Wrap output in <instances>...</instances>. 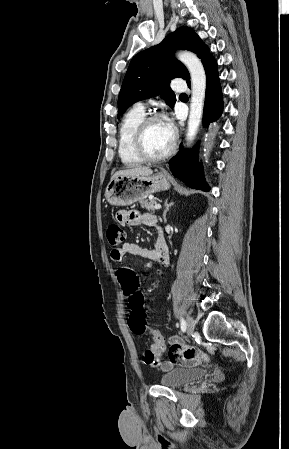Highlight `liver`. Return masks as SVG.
Masks as SVG:
<instances>
[{
  "label": "liver",
  "instance_id": "liver-1",
  "mask_svg": "<svg viewBox=\"0 0 289 449\" xmlns=\"http://www.w3.org/2000/svg\"><path fill=\"white\" fill-rule=\"evenodd\" d=\"M153 171L149 167H133L130 169H125L117 171L112 178L118 176H149Z\"/></svg>",
  "mask_w": 289,
  "mask_h": 449
}]
</instances>
